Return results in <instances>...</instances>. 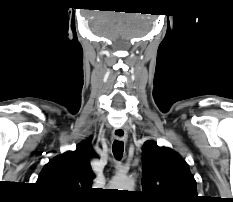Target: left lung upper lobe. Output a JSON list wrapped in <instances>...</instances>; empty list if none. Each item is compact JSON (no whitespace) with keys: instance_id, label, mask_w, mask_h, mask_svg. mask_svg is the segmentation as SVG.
<instances>
[{"instance_id":"5c2ea615","label":"left lung upper lobe","mask_w":233,"mask_h":202,"mask_svg":"<svg viewBox=\"0 0 233 202\" xmlns=\"http://www.w3.org/2000/svg\"><path fill=\"white\" fill-rule=\"evenodd\" d=\"M142 197L146 202H197L196 181L173 150L146 141L142 147Z\"/></svg>"}]
</instances>
